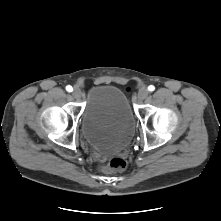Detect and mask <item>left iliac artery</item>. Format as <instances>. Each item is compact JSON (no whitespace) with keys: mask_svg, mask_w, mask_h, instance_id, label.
Masks as SVG:
<instances>
[{"mask_svg":"<svg viewBox=\"0 0 221 221\" xmlns=\"http://www.w3.org/2000/svg\"><path fill=\"white\" fill-rule=\"evenodd\" d=\"M154 89H155V87H154L153 85H150V86L148 87V90H149V91H154Z\"/></svg>","mask_w":221,"mask_h":221,"instance_id":"44dca946","label":"left iliac artery"}]
</instances>
